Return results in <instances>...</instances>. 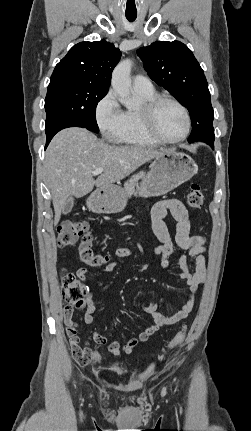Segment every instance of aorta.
<instances>
[{
	"mask_svg": "<svg viewBox=\"0 0 251 431\" xmlns=\"http://www.w3.org/2000/svg\"><path fill=\"white\" fill-rule=\"evenodd\" d=\"M132 68V61L125 59L114 68L112 73L111 85L115 93L127 109H135L138 102L130 97L131 79L130 73Z\"/></svg>",
	"mask_w": 251,
	"mask_h": 431,
	"instance_id": "762f6f07",
	"label": "aorta"
}]
</instances>
